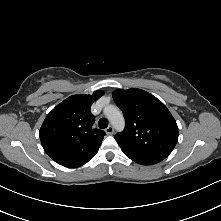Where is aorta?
<instances>
[{"mask_svg":"<svg viewBox=\"0 0 221 221\" xmlns=\"http://www.w3.org/2000/svg\"><path fill=\"white\" fill-rule=\"evenodd\" d=\"M106 116L111 122V124L117 129L121 130L124 127V117L121 113V111L115 107L110 106L108 110L106 111Z\"/></svg>","mask_w":221,"mask_h":221,"instance_id":"762f6f07","label":"aorta"}]
</instances>
